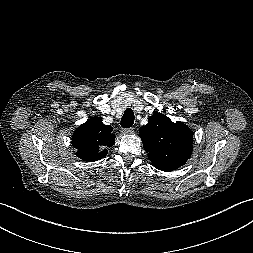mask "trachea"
<instances>
[{"mask_svg": "<svg viewBox=\"0 0 253 253\" xmlns=\"http://www.w3.org/2000/svg\"><path fill=\"white\" fill-rule=\"evenodd\" d=\"M134 113L133 110L130 108H127L121 118V126L123 128H129L133 125L134 123Z\"/></svg>", "mask_w": 253, "mask_h": 253, "instance_id": "1", "label": "trachea"}]
</instances>
